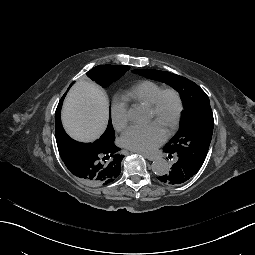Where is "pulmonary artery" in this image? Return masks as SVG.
<instances>
[{"instance_id": "1", "label": "pulmonary artery", "mask_w": 255, "mask_h": 255, "mask_svg": "<svg viewBox=\"0 0 255 255\" xmlns=\"http://www.w3.org/2000/svg\"><path fill=\"white\" fill-rule=\"evenodd\" d=\"M173 159H176V156H173Z\"/></svg>"}]
</instances>
